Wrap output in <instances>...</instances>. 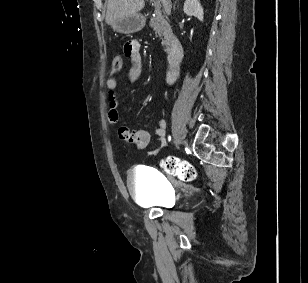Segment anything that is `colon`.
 <instances>
[{"mask_svg":"<svg viewBox=\"0 0 308 283\" xmlns=\"http://www.w3.org/2000/svg\"><path fill=\"white\" fill-rule=\"evenodd\" d=\"M122 65V58L119 55L115 56L112 61L113 72L116 73L120 71ZM162 166L167 173L176 176L183 181H192L196 177V172L193 166L177 157H167L163 160Z\"/></svg>","mask_w":308,"mask_h":283,"instance_id":"colon-1","label":"colon"}]
</instances>
